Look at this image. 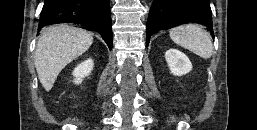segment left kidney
<instances>
[{"label":"left kidney","mask_w":257,"mask_h":130,"mask_svg":"<svg viewBox=\"0 0 257 130\" xmlns=\"http://www.w3.org/2000/svg\"><path fill=\"white\" fill-rule=\"evenodd\" d=\"M165 59L170 71L175 76H182L192 70L189 58L177 49L171 48L166 51Z\"/></svg>","instance_id":"obj_1"}]
</instances>
